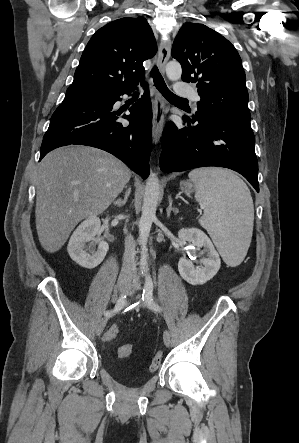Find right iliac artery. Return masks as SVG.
I'll return each instance as SVG.
<instances>
[{"label":"right iliac artery","instance_id":"right-iliac-artery-1","mask_svg":"<svg viewBox=\"0 0 299 443\" xmlns=\"http://www.w3.org/2000/svg\"><path fill=\"white\" fill-rule=\"evenodd\" d=\"M125 303H126V293H122V294L119 296V298H118V300H117V303H116L114 309H112V310H108V311H105V312H104V315H105L106 317H108V318L111 317V316H113L114 314H116L117 312H119V311L123 308V306L125 305Z\"/></svg>","mask_w":299,"mask_h":443}]
</instances>
